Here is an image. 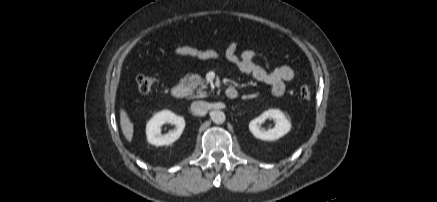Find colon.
Instances as JSON below:
<instances>
[{
	"instance_id": "obj_1",
	"label": "colon",
	"mask_w": 437,
	"mask_h": 202,
	"mask_svg": "<svg viewBox=\"0 0 437 202\" xmlns=\"http://www.w3.org/2000/svg\"><path fill=\"white\" fill-rule=\"evenodd\" d=\"M138 90L143 93H149L156 84V77L151 74H139L136 78ZM299 96L304 101H309L312 96V92L309 87L302 86L299 91Z\"/></svg>"
}]
</instances>
